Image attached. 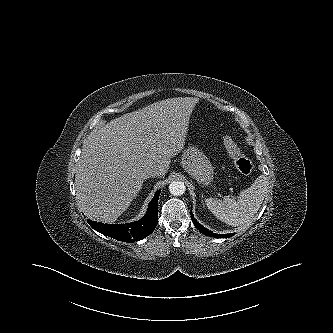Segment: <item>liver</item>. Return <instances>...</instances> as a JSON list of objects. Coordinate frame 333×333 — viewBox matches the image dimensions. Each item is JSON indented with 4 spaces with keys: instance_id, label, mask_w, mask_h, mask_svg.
<instances>
[{
    "instance_id": "liver-1",
    "label": "liver",
    "mask_w": 333,
    "mask_h": 333,
    "mask_svg": "<svg viewBox=\"0 0 333 333\" xmlns=\"http://www.w3.org/2000/svg\"><path fill=\"white\" fill-rule=\"evenodd\" d=\"M197 98L155 102L124 114L92 134L82 149L75 181L79 208L91 220L114 223L149 178L169 169L184 148Z\"/></svg>"
}]
</instances>
